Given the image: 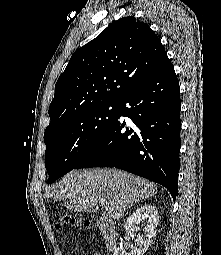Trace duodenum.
Segmentation results:
<instances>
[{
	"mask_svg": "<svg viewBox=\"0 0 221 255\" xmlns=\"http://www.w3.org/2000/svg\"><path fill=\"white\" fill-rule=\"evenodd\" d=\"M98 225L106 248L109 250L115 248L117 244V233L113 221L109 218L102 217L98 219Z\"/></svg>",
	"mask_w": 221,
	"mask_h": 255,
	"instance_id": "duodenum-1",
	"label": "duodenum"
}]
</instances>
